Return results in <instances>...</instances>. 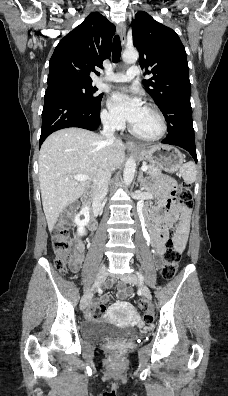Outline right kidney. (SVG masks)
<instances>
[{
    "label": "right kidney",
    "instance_id": "right-kidney-1",
    "mask_svg": "<svg viewBox=\"0 0 228 396\" xmlns=\"http://www.w3.org/2000/svg\"><path fill=\"white\" fill-rule=\"evenodd\" d=\"M83 215L84 218L80 219V216ZM90 220V215H89V208L85 207L83 208L78 215L75 216L74 222L76 223L78 227V234L79 235H84L85 233V226L88 224Z\"/></svg>",
    "mask_w": 228,
    "mask_h": 396
}]
</instances>
